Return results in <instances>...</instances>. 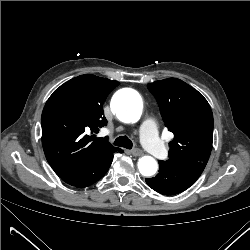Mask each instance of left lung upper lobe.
I'll return each mask as SVG.
<instances>
[{"label": "left lung upper lobe", "mask_w": 250, "mask_h": 250, "mask_svg": "<svg viewBox=\"0 0 250 250\" xmlns=\"http://www.w3.org/2000/svg\"><path fill=\"white\" fill-rule=\"evenodd\" d=\"M174 139L169 143L168 164L206 165L212 149L213 115L207 100L177 78L148 84Z\"/></svg>", "instance_id": "obj_1"}]
</instances>
